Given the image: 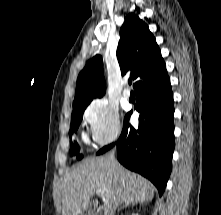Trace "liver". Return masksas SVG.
Returning a JSON list of instances; mask_svg holds the SVG:
<instances>
[{
  "label": "liver",
  "mask_w": 221,
  "mask_h": 215,
  "mask_svg": "<svg viewBox=\"0 0 221 215\" xmlns=\"http://www.w3.org/2000/svg\"><path fill=\"white\" fill-rule=\"evenodd\" d=\"M62 187V215L82 214L95 193L109 211L115 203L149 202L155 191L147 179L112 162L109 156L86 159L65 175Z\"/></svg>",
  "instance_id": "1"
}]
</instances>
